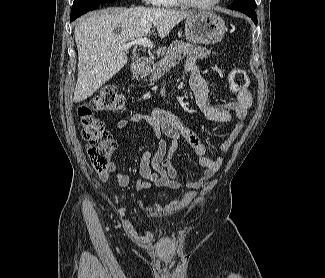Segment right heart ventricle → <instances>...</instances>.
Masks as SVG:
<instances>
[{
	"instance_id": "obj_1",
	"label": "right heart ventricle",
	"mask_w": 325,
	"mask_h": 278,
	"mask_svg": "<svg viewBox=\"0 0 325 278\" xmlns=\"http://www.w3.org/2000/svg\"><path fill=\"white\" fill-rule=\"evenodd\" d=\"M160 5L165 6V7H175L178 5L177 0H161Z\"/></svg>"
}]
</instances>
